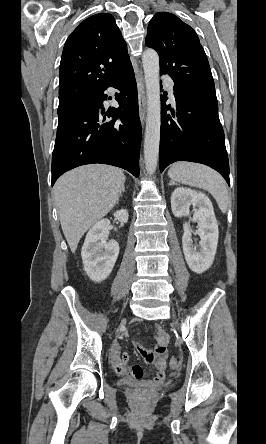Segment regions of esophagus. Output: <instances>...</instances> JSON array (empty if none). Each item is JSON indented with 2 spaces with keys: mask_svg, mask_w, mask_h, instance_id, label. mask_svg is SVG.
<instances>
[{
  "mask_svg": "<svg viewBox=\"0 0 266 444\" xmlns=\"http://www.w3.org/2000/svg\"><path fill=\"white\" fill-rule=\"evenodd\" d=\"M137 91H138V108L139 117L142 125H144L146 114V95L145 88L141 77L137 78Z\"/></svg>",
  "mask_w": 266,
  "mask_h": 444,
  "instance_id": "esophagus-1",
  "label": "esophagus"
}]
</instances>
